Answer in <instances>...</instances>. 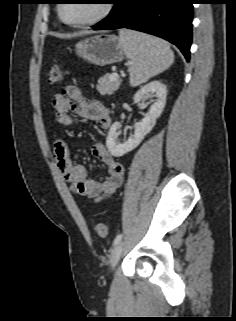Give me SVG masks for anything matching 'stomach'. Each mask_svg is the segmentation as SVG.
Returning <instances> with one entry per match:
<instances>
[{
    "instance_id": "0dacf381",
    "label": "stomach",
    "mask_w": 236,
    "mask_h": 321,
    "mask_svg": "<svg viewBox=\"0 0 236 321\" xmlns=\"http://www.w3.org/2000/svg\"><path fill=\"white\" fill-rule=\"evenodd\" d=\"M75 51L79 57L98 66L120 62L126 55L119 38L109 34L85 38L75 45Z\"/></svg>"
}]
</instances>
